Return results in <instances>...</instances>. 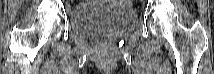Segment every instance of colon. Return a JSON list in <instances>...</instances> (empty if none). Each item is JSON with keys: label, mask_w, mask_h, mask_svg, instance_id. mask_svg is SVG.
<instances>
[{"label": "colon", "mask_w": 214, "mask_h": 74, "mask_svg": "<svg viewBox=\"0 0 214 74\" xmlns=\"http://www.w3.org/2000/svg\"><path fill=\"white\" fill-rule=\"evenodd\" d=\"M128 2V4H131V3H133V1H127Z\"/></svg>", "instance_id": "1"}]
</instances>
